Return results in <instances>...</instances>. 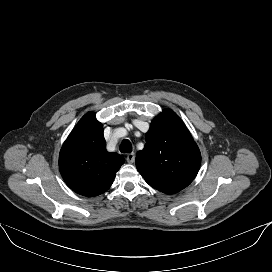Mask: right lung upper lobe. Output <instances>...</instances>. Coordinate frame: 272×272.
Segmentation results:
<instances>
[{"label":"right lung upper lobe","mask_w":272,"mask_h":272,"mask_svg":"<svg viewBox=\"0 0 272 272\" xmlns=\"http://www.w3.org/2000/svg\"><path fill=\"white\" fill-rule=\"evenodd\" d=\"M124 158L106 150L102 124L87 113L64 142L59 169L66 184L76 193L97 196L107 191Z\"/></svg>","instance_id":"obj_1"}]
</instances>
